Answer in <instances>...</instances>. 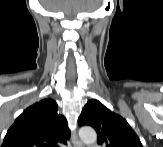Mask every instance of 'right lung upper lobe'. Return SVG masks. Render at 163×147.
I'll use <instances>...</instances> for the list:
<instances>
[{
	"label": "right lung upper lobe",
	"instance_id": "right-lung-upper-lobe-1",
	"mask_svg": "<svg viewBox=\"0 0 163 147\" xmlns=\"http://www.w3.org/2000/svg\"><path fill=\"white\" fill-rule=\"evenodd\" d=\"M58 105L44 99L28 107L8 130L2 147H57L70 138L67 120Z\"/></svg>",
	"mask_w": 163,
	"mask_h": 147
}]
</instances>
